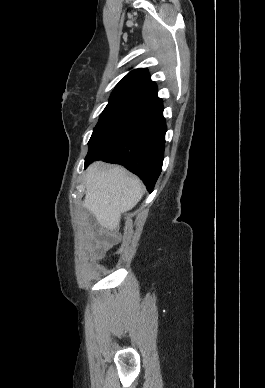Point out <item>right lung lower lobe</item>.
<instances>
[{"instance_id": "98d812e1", "label": "right lung lower lobe", "mask_w": 265, "mask_h": 388, "mask_svg": "<svg viewBox=\"0 0 265 388\" xmlns=\"http://www.w3.org/2000/svg\"><path fill=\"white\" fill-rule=\"evenodd\" d=\"M165 133L163 104L157 97L88 153L85 168L95 160L124 165L152 191L162 169Z\"/></svg>"}]
</instances>
